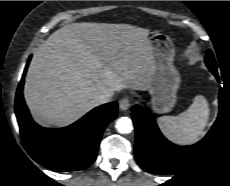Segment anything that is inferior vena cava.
<instances>
[{
    "mask_svg": "<svg viewBox=\"0 0 230 186\" xmlns=\"http://www.w3.org/2000/svg\"><path fill=\"white\" fill-rule=\"evenodd\" d=\"M112 95L109 93H103L96 97L95 101L98 105L104 104L110 101Z\"/></svg>",
    "mask_w": 230,
    "mask_h": 186,
    "instance_id": "obj_1",
    "label": "inferior vena cava"
}]
</instances>
